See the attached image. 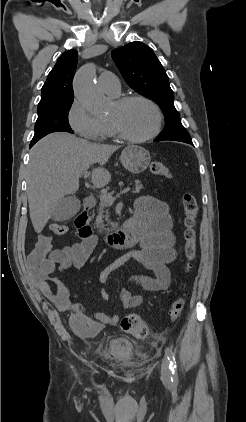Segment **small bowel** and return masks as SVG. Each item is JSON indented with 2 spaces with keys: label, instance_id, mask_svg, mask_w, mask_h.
<instances>
[{
  "label": "small bowel",
  "instance_id": "c3829d8e",
  "mask_svg": "<svg viewBox=\"0 0 246 422\" xmlns=\"http://www.w3.org/2000/svg\"><path fill=\"white\" fill-rule=\"evenodd\" d=\"M133 218L136 219L142 230L140 248L108 264L102 269L98 278L102 287V298L107 300L109 296L105 286L110 274L128 260L134 259L153 272L154 276L139 274L128 278L126 286L120 292V301L124 309L136 308L143 303L141 295L131 292L130 286L132 285L153 292L167 289L171 283L168 265L177 257L175 236L172 231L173 221L169 207L164 201L151 196L139 197L135 202ZM95 247L96 238L92 236L82 242L52 250L49 255L52 265L50 271L46 277L36 279L35 282L40 293L58 310L71 312V327L77 335L83 338L94 337L104 325H116L119 316L101 312H95L92 316H88L79 304L70 301L67 286L53 274L63 272L71 267L83 268Z\"/></svg>",
  "mask_w": 246,
  "mask_h": 422
}]
</instances>
